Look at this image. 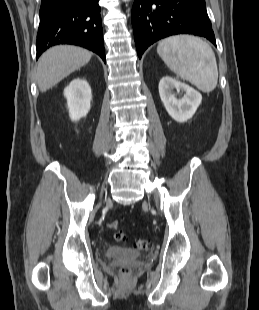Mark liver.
Segmentation results:
<instances>
[{
    "label": "liver",
    "instance_id": "6515ba94",
    "mask_svg": "<svg viewBox=\"0 0 259 310\" xmlns=\"http://www.w3.org/2000/svg\"><path fill=\"white\" fill-rule=\"evenodd\" d=\"M92 53L86 49L59 45L48 49L38 60L36 81L41 92L55 86L75 70L87 64Z\"/></svg>",
    "mask_w": 259,
    "mask_h": 310
}]
</instances>
